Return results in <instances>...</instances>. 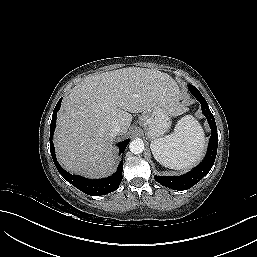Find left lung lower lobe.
<instances>
[{"label": "left lung lower lobe", "mask_w": 257, "mask_h": 257, "mask_svg": "<svg viewBox=\"0 0 257 257\" xmlns=\"http://www.w3.org/2000/svg\"><path fill=\"white\" fill-rule=\"evenodd\" d=\"M191 93L201 103L202 112L208 120L212 134L204 160L193 170L182 176H155V180L161 185L179 191L191 188L208 174L214 164L218 147L217 127L214 116L210 112L208 104L201 93L199 91H191Z\"/></svg>", "instance_id": "0a47b994"}]
</instances>
